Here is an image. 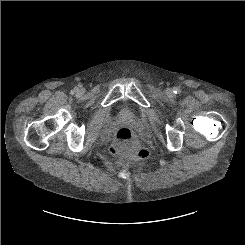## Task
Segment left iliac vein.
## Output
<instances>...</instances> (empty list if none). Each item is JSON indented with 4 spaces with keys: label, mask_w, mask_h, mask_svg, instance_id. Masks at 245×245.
I'll list each match as a JSON object with an SVG mask.
<instances>
[{
    "label": "left iliac vein",
    "mask_w": 245,
    "mask_h": 245,
    "mask_svg": "<svg viewBox=\"0 0 245 245\" xmlns=\"http://www.w3.org/2000/svg\"><path fill=\"white\" fill-rule=\"evenodd\" d=\"M168 94H169V95H171V94H172V91H171V90H169V91H168Z\"/></svg>",
    "instance_id": "left-iliac-vein-1"
}]
</instances>
